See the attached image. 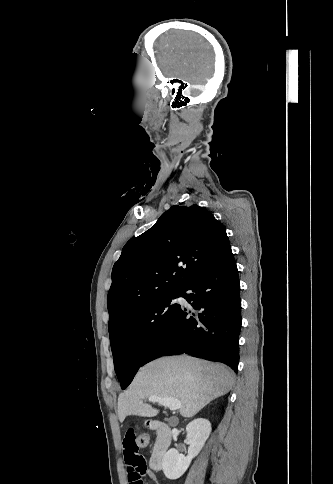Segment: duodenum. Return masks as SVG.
Returning <instances> with one entry per match:
<instances>
[{"label": "duodenum", "instance_id": "duodenum-1", "mask_svg": "<svg viewBox=\"0 0 333 484\" xmlns=\"http://www.w3.org/2000/svg\"><path fill=\"white\" fill-rule=\"evenodd\" d=\"M148 426L157 433V440L150 456V467L152 470L160 471L163 467L164 455L171 444L173 432L169 425L158 420H150Z\"/></svg>", "mask_w": 333, "mask_h": 484}]
</instances>
